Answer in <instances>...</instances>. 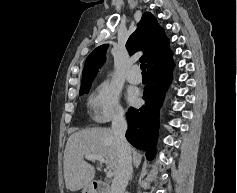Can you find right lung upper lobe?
<instances>
[{"instance_id": "cb5924a9", "label": "right lung upper lobe", "mask_w": 237, "mask_h": 193, "mask_svg": "<svg viewBox=\"0 0 237 193\" xmlns=\"http://www.w3.org/2000/svg\"><path fill=\"white\" fill-rule=\"evenodd\" d=\"M107 48L108 44H103L87 57L80 89L91 86L98 69L105 60ZM126 48L131 54L143 51L144 55L142 58L147 63V68L172 53L169 49V39L150 12L144 13L138 28L129 37Z\"/></svg>"}]
</instances>
